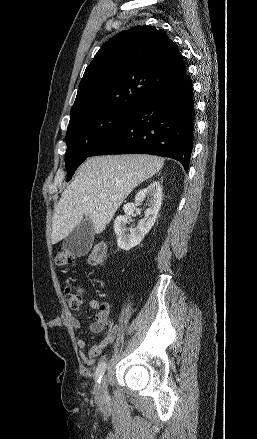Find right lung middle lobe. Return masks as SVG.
Wrapping results in <instances>:
<instances>
[{
	"label": "right lung middle lobe",
	"instance_id": "right-lung-middle-lobe-1",
	"mask_svg": "<svg viewBox=\"0 0 257 439\" xmlns=\"http://www.w3.org/2000/svg\"><path fill=\"white\" fill-rule=\"evenodd\" d=\"M134 111L101 109L70 118L66 133L67 181L95 147Z\"/></svg>",
	"mask_w": 257,
	"mask_h": 439
}]
</instances>
